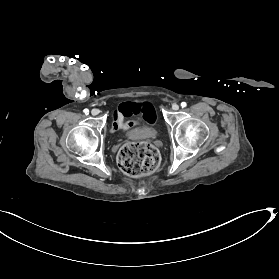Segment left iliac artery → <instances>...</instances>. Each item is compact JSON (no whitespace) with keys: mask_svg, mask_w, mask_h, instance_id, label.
<instances>
[{"mask_svg":"<svg viewBox=\"0 0 279 279\" xmlns=\"http://www.w3.org/2000/svg\"><path fill=\"white\" fill-rule=\"evenodd\" d=\"M186 105H187L186 102H182V103H181V106H182L183 108L186 107Z\"/></svg>","mask_w":279,"mask_h":279,"instance_id":"44dca946","label":"left iliac artery"}]
</instances>
